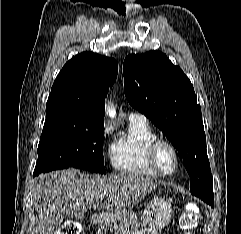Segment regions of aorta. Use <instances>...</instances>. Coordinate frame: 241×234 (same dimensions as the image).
Masks as SVG:
<instances>
[{
    "label": "aorta",
    "mask_w": 241,
    "mask_h": 234,
    "mask_svg": "<svg viewBox=\"0 0 241 234\" xmlns=\"http://www.w3.org/2000/svg\"><path fill=\"white\" fill-rule=\"evenodd\" d=\"M115 116H116V113L114 112V111H109V117L110 118H115Z\"/></svg>",
    "instance_id": "1"
}]
</instances>
